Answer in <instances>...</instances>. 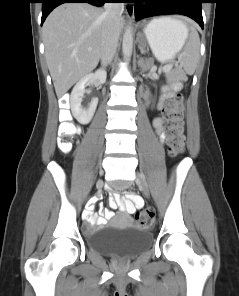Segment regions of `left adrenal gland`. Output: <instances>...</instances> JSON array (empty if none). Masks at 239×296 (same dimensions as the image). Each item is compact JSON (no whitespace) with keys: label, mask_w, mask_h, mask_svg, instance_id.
Here are the masks:
<instances>
[{"label":"left adrenal gland","mask_w":239,"mask_h":296,"mask_svg":"<svg viewBox=\"0 0 239 296\" xmlns=\"http://www.w3.org/2000/svg\"><path fill=\"white\" fill-rule=\"evenodd\" d=\"M138 47H139V49H140L141 53H144V52H145V50H144V47H143V46H141V45L139 44V46H138ZM138 65H139V66H141V67L143 66V65H142V60H139V63H138Z\"/></svg>","instance_id":"obj_1"}]
</instances>
